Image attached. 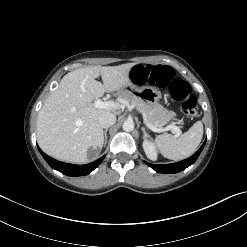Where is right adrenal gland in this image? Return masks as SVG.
Instances as JSON below:
<instances>
[{"mask_svg": "<svg viewBox=\"0 0 247 247\" xmlns=\"http://www.w3.org/2000/svg\"><path fill=\"white\" fill-rule=\"evenodd\" d=\"M107 132H108V129H106V130L104 131V146L107 144V138H108Z\"/></svg>", "mask_w": 247, "mask_h": 247, "instance_id": "1", "label": "right adrenal gland"}]
</instances>
